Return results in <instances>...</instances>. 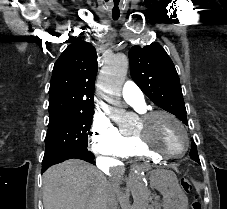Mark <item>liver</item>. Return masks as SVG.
<instances>
[{"label":"liver","mask_w":227,"mask_h":209,"mask_svg":"<svg viewBox=\"0 0 227 209\" xmlns=\"http://www.w3.org/2000/svg\"><path fill=\"white\" fill-rule=\"evenodd\" d=\"M107 187V177L94 165L70 159L44 173V209H105Z\"/></svg>","instance_id":"obj_1"}]
</instances>
